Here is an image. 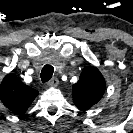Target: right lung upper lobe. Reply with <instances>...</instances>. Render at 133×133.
Listing matches in <instances>:
<instances>
[{
  "mask_svg": "<svg viewBox=\"0 0 133 133\" xmlns=\"http://www.w3.org/2000/svg\"><path fill=\"white\" fill-rule=\"evenodd\" d=\"M38 91L25 85L15 75L7 74L0 85V98L2 103L17 114H24Z\"/></svg>",
  "mask_w": 133,
  "mask_h": 133,
  "instance_id": "cb5924a9",
  "label": "right lung upper lobe"
}]
</instances>
